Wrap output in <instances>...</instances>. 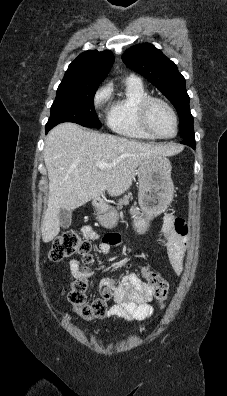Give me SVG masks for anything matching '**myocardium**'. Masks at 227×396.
I'll return each instance as SVG.
<instances>
[{"label": "myocardium", "mask_w": 227, "mask_h": 396, "mask_svg": "<svg viewBox=\"0 0 227 396\" xmlns=\"http://www.w3.org/2000/svg\"><path fill=\"white\" fill-rule=\"evenodd\" d=\"M154 103H160L162 105H164L169 112L171 113V115L173 116L174 119V123H175V132L173 135L171 136H163L160 135L159 133H157L149 120V112H150V108ZM139 120L140 123L142 125V127L152 136H154L155 138L158 139H172L174 137H176V135L178 134L179 131V119H178V115L175 111V109L173 108V106L164 98L161 97H157V96H148L147 98H145L140 106H139Z\"/></svg>", "instance_id": "obj_1"}]
</instances>
